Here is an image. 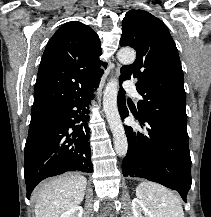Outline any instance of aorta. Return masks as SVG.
<instances>
[{"mask_svg": "<svg viewBox=\"0 0 211 217\" xmlns=\"http://www.w3.org/2000/svg\"><path fill=\"white\" fill-rule=\"evenodd\" d=\"M118 60L123 64L135 61L136 53L133 49L123 48L117 53ZM118 81L111 79L104 91L103 108L114 137V149L119 156H125L128 149L127 137L117 108Z\"/></svg>", "mask_w": 211, "mask_h": 217, "instance_id": "obj_1", "label": "aorta"}]
</instances>
